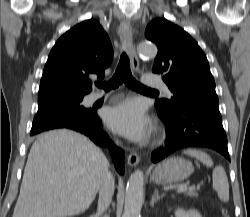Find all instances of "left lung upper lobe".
<instances>
[{"mask_svg": "<svg viewBox=\"0 0 250 217\" xmlns=\"http://www.w3.org/2000/svg\"><path fill=\"white\" fill-rule=\"evenodd\" d=\"M146 38L158 47L152 71L164 74L173 93L171 100H158L156 108L173 114L186 103L218 99L207 58L188 33L165 18H157L147 26Z\"/></svg>", "mask_w": 250, "mask_h": 217, "instance_id": "5c2ea615", "label": "left lung upper lobe"}]
</instances>
